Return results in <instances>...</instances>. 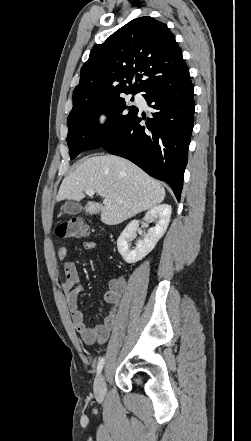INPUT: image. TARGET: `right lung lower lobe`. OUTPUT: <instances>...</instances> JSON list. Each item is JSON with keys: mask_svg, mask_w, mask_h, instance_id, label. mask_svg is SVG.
<instances>
[{"mask_svg": "<svg viewBox=\"0 0 251 441\" xmlns=\"http://www.w3.org/2000/svg\"><path fill=\"white\" fill-rule=\"evenodd\" d=\"M143 92L147 104L154 109L153 117L146 119L143 126V115L138 110L101 148L168 183L180 201L195 109L188 67L152 82Z\"/></svg>", "mask_w": 251, "mask_h": 441, "instance_id": "right-lung-lower-lobe-1", "label": "right lung lower lobe"}]
</instances>
